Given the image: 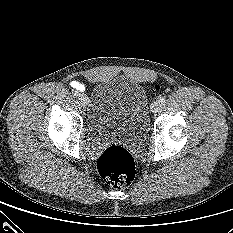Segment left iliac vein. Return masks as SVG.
<instances>
[{
    "instance_id": "4c4485c4",
    "label": "left iliac vein",
    "mask_w": 233,
    "mask_h": 233,
    "mask_svg": "<svg viewBox=\"0 0 233 233\" xmlns=\"http://www.w3.org/2000/svg\"><path fill=\"white\" fill-rule=\"evenodd\" d=\"M160 107H161V102L159 100L154 101L150 107L151 112L156 113Z\"/></svg>"
}]
</instances>
